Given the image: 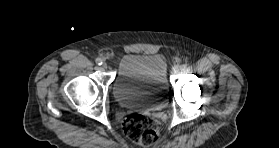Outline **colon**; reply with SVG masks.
Returning <instances> with one entry per match:
<instances>
[{
  "instance_id": "1",
  "label": "colon",
  "mask_w": 279,
  "mask_h": 148,
  "mask_svg": "<svg viewBox=\"0 0 279 148\" xmlns=\"http://www.w3.org/2000/svg\"><path fill=\"white\" fill-rule=\"evenodd\" d=\"M125 135L134 143L149 147L160 139L159 122L145 114H129L122 122Z\"/></svg>"
}]
</instances>
